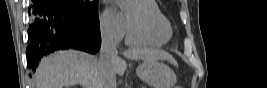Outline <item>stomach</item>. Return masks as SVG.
<instances>
[{
    "mask_svg": "<svg viewBox=\"0 0 267 88\" xmlns=\"http://www.w3.org/2000/svg\"><path fill=\"white\" fill-rule=\"evenodd\" d=\"M137 75L154 88H172L175 83L174 72L158 61L145 60L136 69Z\"/></svg>",
    "mask_w": 267,
    "mask_h": 88,
    "instance_id": "1",
    "label": "stomach"
}]
</instances>
